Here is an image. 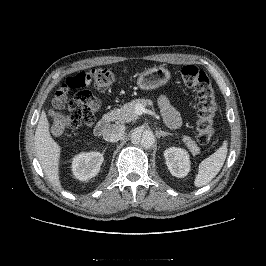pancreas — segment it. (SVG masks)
I'll return each mask as SVG.
<instances>
[{
	"mask_svg": "<svg viewBox=\"0 0 266 266\" xmlns=\"http://www.w3.org/2000/svg\"><path fill=\"white\" fill-rule=\"evenodd\" d=\"M137 104H142L143 106H152L153 103L149 99H135L129 103L124 104L120 109L112 110L108 113L112 121L118 123H128L137 118L135 113V106ZM183 142L190 150L193 156H196L200 152V148L197 146L196 142L189 136L182 137Z\"/></svg>",
	"mask_w": 266,
	"mask_h": 266,
	"instance_id": "cf45deb5",
	"label": "pancreas"
}]
</instances>
